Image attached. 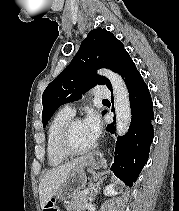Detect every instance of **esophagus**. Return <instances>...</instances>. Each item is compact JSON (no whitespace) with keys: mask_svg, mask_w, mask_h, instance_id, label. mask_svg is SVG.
Segmentation results:
<instances>
[{"mask_svg":"<svg viewBox=\"0 0 179 211\" xmlns=\"http://www.w3.org/2000/svg\"><path fill=\"white\" fill-rule=\"evenodd\" d=\"M92 156H101V151H92ZM104 164L103 158H95V162H93V167H102Z\"/></svg>","mask_w":179,"mask_h":211,"instance_id":"esophagus-1","label":"esophagus"}]
</instances>
